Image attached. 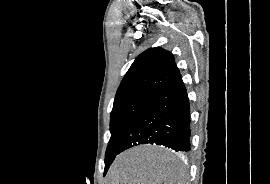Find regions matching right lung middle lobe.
Here are the masks:
<instances>
[{
	"label": "right lung middle lobe",
	"instance_id": "right-lung-middle-lobe-1",
	"mask_svg": "<svg viewBox=\"0 0 270 184\" xmlns=\"http://www.w3.org/2000/svg\"><path fill=\"white\" fill-rule=\"evenodd\" d=\"M148 98L149 96L136 95L114 101L110 116L111 138L105 155L104 174H106L116 155L119 154V149L125 136Z\"/></svg>",
	"mask_w": 270,
	"mask_h": 184
}]
</instances>
